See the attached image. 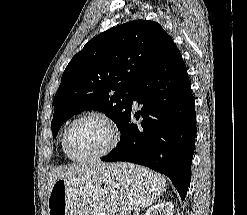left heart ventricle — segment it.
Listing matches in <instances>:
<instances>
[{"instance_id": "obj_1", "label": "left heart ventricle", "mask_w": 247, "mask_h": 215, "mask_svg": "<svg viewBox=\"0 0 247 215\" xmlns=\"http://www.w3.org/2000/svg\"><path fill=\"white\" fill-rule=\"evenodd\" d=\"M111 140L109 128L93 118L77 122L71 130L69 144L75 156H87L104 150Z\"/></svg>"}]
</instances>
